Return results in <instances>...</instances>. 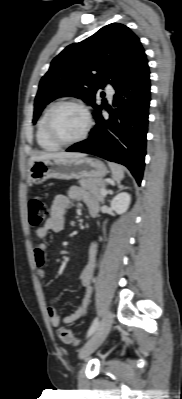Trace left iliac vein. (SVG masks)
Returning <instances> with one entry per match:
<instances>
[{
  "label": "left iliac vein",
  "mask_w": 182,
  "mask_h": 399,
  "mask_svg": "<svg viewBox=\"0 0 182 399\" xmlns=\"http://www.w3.org/2000/svg\"><path fill=\"white\" fill-rule=\"evenodd\" d=\"M113 314L111 311H108L105 315L104 319L95 330L93 335L88 339V341L84 344V346L80 349L79 358L85 359L91 353H93L105 340L107 337L111 325H112Z\"/></svg>",
  "instance_id": "1"
}]
</instances>
